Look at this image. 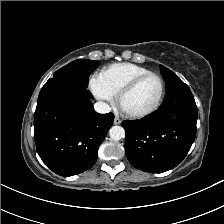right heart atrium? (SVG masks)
Returning a JSON list of instances; mask_svg holds the SVG:
<instances>
[{"label": "right heart atrium", "instance_id": "1", "mask_svg": "<svg viewBox=\"0 0 224 224\" xmlns=\"http://www.w3.org/2000/svg\"><path fill=\"white\" fill-rule=\"evenodd\" d=\"M89 87L93 95L100 101L110 104L114 100V95L106 89L99 76H94L89 81Z\"/></svg>", "mask_w": 224, "mask_h": 224}]
</instances>
